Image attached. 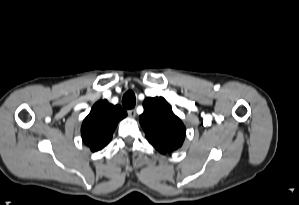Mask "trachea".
I'll list each match as a JSON object with an SVG mask.
<instances>
[{
  "mask_svg": "<svg viewBox=\"0 0 299 205\" xmlns=\"http://www.w3.org/2000/svg\"><path fill=\"white\" fill-rule=\"evenodd\" d=\"M122 104H123V107L126 109L134 108L135 104H136L135 94L132 91H127L123 95Z\"/></svg>",
  "mask_w": 299,
  "mask_h": 205,
  "instance_id": "trachea-1",
  "label": "trachea"
}]
</instances>
